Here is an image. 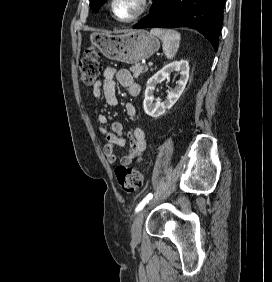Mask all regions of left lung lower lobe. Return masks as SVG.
Instances as JSON below:
<instances>
[{
    "instance_id": "left-lung-lower-lobe-1",
    "label": "left lung lower lobe",
    "mask_w": 272,
    "mask_h": 282,
    "mask_svg": "<svg viewBox=\"0 0 272 282\" xmlns=\"http://www.w3.org/2000/svg\"><path fill=\"white\" fill-rule=\"evenodd\" d=\"M224 3L225 0H153L151 12L133 28L191 27L217 51Z\"/></svg>"
}]
</instances>
